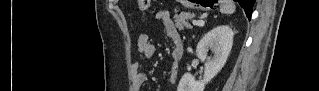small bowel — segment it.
Returning <instances> with one entry per match:
<instances>
[{"instance_id": "1", "label": "small bowel", "mask_w": 319, "mask_h": 91, "mask_svg": "<svg viewBox=\"0 0 319 91\" xmlns=\"http://www.w3.org/2000/svg\"><path fill=\"white\" fill-rule=\"evenodd\" d=\"M155 19L160 21L163 25L166 35L172 41L171 58L172 63L169 69V79L171 82H176L179 76V60L183 55V43L181 36L172 21L171 15L168 11H159L155 14ZM138 51L143 59H150L155 55L156 47L149 40L147 35H140L137 41ZM133 85L135 90H141L146 84L147 75L141 70V63L136 62L132 65Z\"/></svg>"}]
</instances>
